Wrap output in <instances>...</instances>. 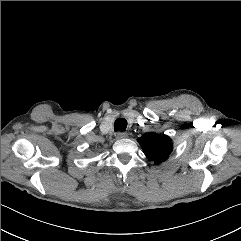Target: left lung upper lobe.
I'll use <instances>...</instances> for the list:
<instances>
[{
	"instance_id": "left-lung-upper-lobe-1",
	"label": "left lung upper lobe",
	"mask_w": 241,
	"mask_h": 241,
	"mask_svg": "<svg viewBox=\"0 0 241 241\" xmlns=\"http://www.w3.org/2000/svg\"><path fill=\"white\" fill-rule=\"evenodd\" d=\"M144 154L156 165L168 159L173 149L172 141L167 135L146 133L138 139Z\"/></svg>"
}]
</instances>
